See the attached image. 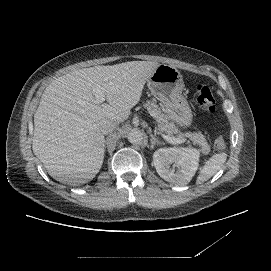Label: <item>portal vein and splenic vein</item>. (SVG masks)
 <instances>
[{"label":"portal vein and splenic vein","mask_w":271,"mask_h":271,"mask_svg":"<svg viewBox=\"0 0 271 271\" xmlns=\"http://www.w3.org/2000/svg\"><path fill=\"white\" fill-rule=\"evenodd\" d=\"M96 93H95V97L96 99L99 101V102H105L106 100V96H105V93L103 91L102 88H97L96 90ZM167 141L171 142V143H174V144H183V143H186L188 142V139L185 138V137H182V138H174V137H170V136H167L166 137Z\"/></svg>","instance_id":"1"}]
</instances>
